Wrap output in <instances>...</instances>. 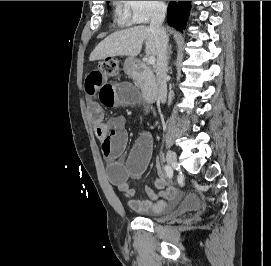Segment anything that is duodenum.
<instances>
[{
    "label": "duodenum",
    "mask_w": 271,
    "mask_h": 266,
    "mask_svg": "<svg viewBox=\"0 0 271 266\" xmlns=\"http://www.w3.org/2000/svg\"><path fill=\"white\" fill-rule=\"evenodd\" d=\"M129 75L142 86L146 103L151 104L158 98L159 85L152 70L140 60L133 59L128 63Z\"/></svg>",
    "instance_id": "410a0bca"
}]
</instances>
